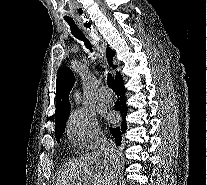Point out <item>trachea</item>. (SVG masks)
<instances>
[{
  "label": "trachea",
  "instance_id": "obj_1",
  "mask_svg": "<svg viewBox=\"0 0 207 185\" xmlns=\"http://www.w3.org/2000/svg\"><path fill=\"white\" fill-rule=\"evenodd\" d=\"M66 22H68V24L71 27V32L73 33V35H75V37H77L80 40H85V37L81 34V32L79 31V29L76 27V25L74 24L72 19L69 18H65ZM86 47L91 49V45L89 44L88 41H86ZM107 85L112 88V90L117 94L118 90L115 84V81L113 79V77L111 75H108L107 77Z\"/></svg>",
  "mask_w": 207,
  "mask_h": 185
}]
</instances>
